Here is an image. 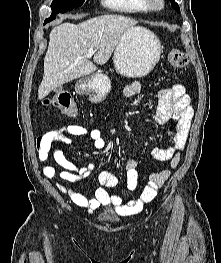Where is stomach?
<instances>
[{
  "instance_id": "obj_1",
  "label": "stomach",
  "mask_w": 221,
  "mask_h": 263,
  "mask_svg": "<svg viewBox=\"0 0 221 263\" xmlns=\"http://www.w3.org/2000/svg\"><path fill=\"white\" fill-rule=\"evenodd\" d=\"M162 46L156 36L142 27L125 32L114 51L116 70L127 77L140 78L152 71L158 63ZM78 89L91 94V100L101 101L111 90V81L103 73L83 80Z\"/></svg>"
}]
</instances>
